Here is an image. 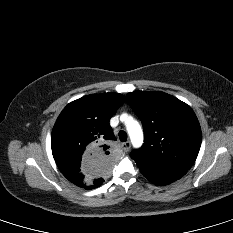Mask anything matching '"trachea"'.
Returning <instances> with one entry per match:
<instances>
[{"label": "trachea", "mask_w": 233, "mask_h": 233, "mask_svg": "<svg viewBox=\"0 0 233 233\" xmlns=\"http://www.w3.org/2000/svg\"><path fill=\"white\" fill-rule=\"evenodd\" d=\"M119 139L122 142H125L127 140V133L125 131H120L119 132Z\"/></svg>", "instance_id": "obj_1"}]
</instances>
